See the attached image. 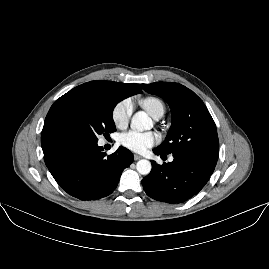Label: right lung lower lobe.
I'll return each instance as SVG.
<instances>
[{"mask_svg": "<svg viewBox=\"0 0 269 269\" xmlns=\"http://www.w3.org/2000/svg\"><path fill=\"white\" fill-rule=\"evenodd\" d=\"M41 145L45 164L60 187L80 200L111 194L133 154L124 147L106 156L95 141L81 139L65 126L44 124Z\"/></svg>", "mask_w": 269, "mask_h": 269, "instance_id": "obj_1", "label": "right lung lower lobe"}]
</instances>
